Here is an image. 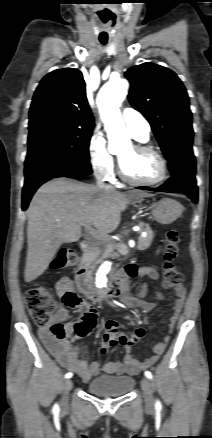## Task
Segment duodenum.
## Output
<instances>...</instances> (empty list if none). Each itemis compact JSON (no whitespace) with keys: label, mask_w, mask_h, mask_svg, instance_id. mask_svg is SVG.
<instances>
[{"label":"duodenum","mask_w":212,"mask_h":438,"mask_svg":"<svg viewBox=\"0 0 212 438\" xmlns=\"http://www.w3.org/2000/svg\"><path fill=\"white\" fill-rule=\"evenodd\" d=\"M81 250L84 258L82 265L78 268L76 273L75 284L77 289L89 300L94 302H102L119 297L123 289V280L120 274L113 278L107 289L96 288L91 282L89 274V260L93 252L92 242L83 241L81 243Z\"/></svg>","instance_id":"1"}]
</instances>
